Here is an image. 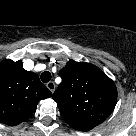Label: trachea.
Instances as JSON below:
<instances>
[{
	"mask_svg": "<svg viewBox=\"0 0 136 136\" xmlns=\"http://www.w3.org/2000/svg\"><path fill=\"white\" fill-rule=\"evenodd\" d=\"M40 77L44 83H47L51 80V73L49 71H45L41 74Z\"/></svg>",
	"mask_w": 136,
	"mask_h": 136,
	"instance_id": "obj_1",
	"label": "trachea"
}]
</instances>
